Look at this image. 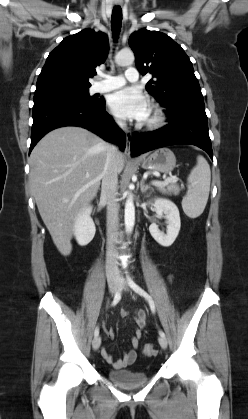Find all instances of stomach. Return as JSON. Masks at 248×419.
Wrapping results in <instances>:
<instances>
[{"label": "stomach", "instance_id": "stomach-1", "mask_svg": "<svg viewBox=\"0 0 248 419\" xmlns=\"http://www.w3.org/2000/svg\"><path fill=\"white\" fill-rule=\"evenodd\" d=\"M176 166L174 153L168 148L155 150L147 158L142 160V168L158 172H171Z\"/></svg>", "mask_w": 248, "mask_h": 419}]
</instances>
